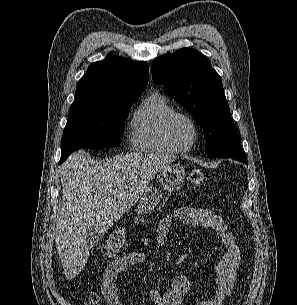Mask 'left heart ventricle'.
<instances>
[{
    "label": "left heart ventricle",
    "mask_w": 297,
    "mask_h": 305,
    "mask_svg": "<svg viewBox=\"0 0 297 305\" xmlns=\"http://www.w3.org/2000/svg\"><path fill=\"white\" fill-rule=\"evenodd\" d=\"M171 134L174 141L181 147L188 146L193 138V129L184 118H177L172 123Z\"/></svg>",
    "instance_id": "obj_1"
}]
</instances>
